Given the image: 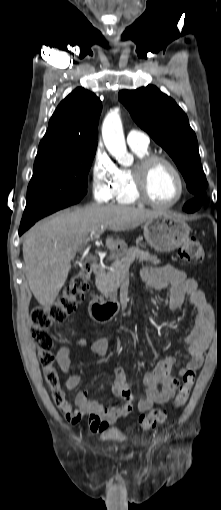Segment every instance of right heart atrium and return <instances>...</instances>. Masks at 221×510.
Returning a JSON list of instances; mask_svg holds the SVG:
<instances>
[{
	"label": "right heart atrium",
	"mask_w": 221,
	"mask_h": 510,
	"mask_svg": "<svg viewBox=\"0 0 221 510\" xmlns=\"http://www.w3.org/2000/svg\"><path fill=\"white\" fill-rule=\"evenodd\" d=\"M117 186V167L109 156L98 147L91 164V189L97 202L108 203Z\"/></svg>",
	"instance_id": "d8ad5b80"
}]
</instances>
